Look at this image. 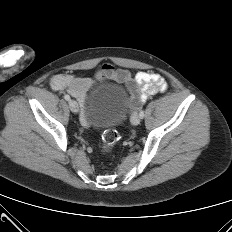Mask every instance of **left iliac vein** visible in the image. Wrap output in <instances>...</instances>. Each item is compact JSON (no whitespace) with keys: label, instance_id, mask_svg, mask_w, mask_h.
<instances>
[{"label":"left iliac vein","instance_id":"left-iliac-vein-1","mask_svg":"<svg viewBox=\"0 0 232 232\" xmlns=\"http://www.w3.org/2000/svg\"><path fill=\"white\" fill-rule=\"evenodd\" d=\"M140 119L141 118L138 114H133L131 117V123L136 126L140 123Z\"/></svg>","mask_w":232,"mask_h":232}]
</instances>
